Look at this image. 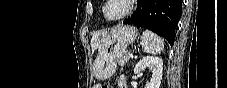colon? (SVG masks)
I'll return each mask as SVG.
<instances>
[{
    "label": "colon",
    "instance_id": "obj_1",
    "mask_svg": "<svg viewBox=\"0 0 227 88\" xmlns=\"http://www.w3.org/2000/svg\"><path fill=\"white\" fill-rule=\"evenodd\" d=\"M95 88H108L107 85H96Z\"/></svg>",
    "mask_w": 227,
    "mask_h": 88
}]
</instances>
